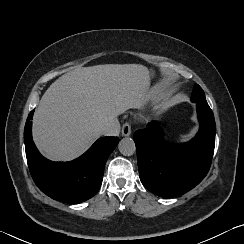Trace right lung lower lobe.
Returning a JSON list of instances; mask_svg holds the SVG:
<instances>
[{"mask_svg": "<svg viewBox=\"0 0 244 244\" xmlns=\"http://www.w3.org/2000/svg\"><path fill=\"white\" fill-rule=\"evenodd\" d=\"M34 109L28 115L24 142L31 176L38 188L55 200L81 203L99 190L105 163L119 142L118 137L99 138L83 155L70 162H52L37 150L31 134Z\"/></svg>", "mask_w": 244, "mask_h": 244, "instance_id": "right-lung-lower-lobe-1", "label": "right lung lower lobe"}]
</instances>
